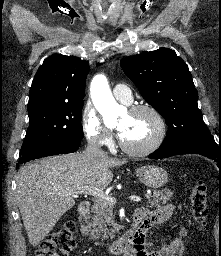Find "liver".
I'll use <instances>...</instances> for the list:
<instances>
[{
  "label": "liver",
  "instance_id": "1",
  "mask_svg": "<svg viewBox=\"0 0 221 256\" xmlns=\"http://www.w3.org/2000/svg\"><path fill=\"white\" fill-rule=\"evenodd\" d=\"M126 162L73 153L40 159L21 167L16 176L15 198L30 244L37 246L61 216L75 205L67 192L87 185L106 188L113 179L109 168Z\"/></svg>",
  "mask_w": 221,
  "mask_h": 256
}]
</instances>
